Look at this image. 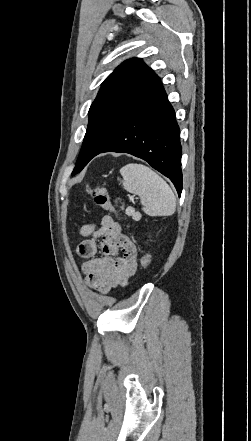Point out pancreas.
<instances>
[{
	"label": "pancreas",
	"instance_id": "pancreas-1",
	"mask_svg": "<svg viewBox=\"0 0 251 441\" xmlns=\"http://www.w3.org/2000/svg\"><path fill=\"white\" fill-rule=\"evenodd\" d=\"M121 210H124V206H121Z\"/></svg>",
	"mask_w": 251,
	"mask_h": 441
}]
</instances>
